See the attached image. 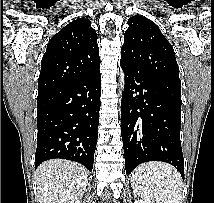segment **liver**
Instances as JSON below:
<instances>
[{"label": "liver", "instance_id": "obj_1", "mask_svg": "<svg viewBox=\"0 0 214 203\" xmlns=\"http://www.w3.org/2000/svg\"><path fill=\"white\" fill-rule=\"evenodd\" d=\"M36 182L40 203H80L88 174L78 163L54 159L37 168Z\"/></svg>", "mask_w": 214, "mask_h": 203}]
</instances>
